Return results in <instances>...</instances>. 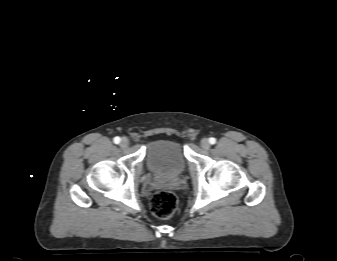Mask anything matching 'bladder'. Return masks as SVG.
Masks as SVG:
<instances>
[{
  "label": "bladder",
  "instance_id": "31cf9c89",
  "mask_svg": "<svg viewBox=\"0 0 337 261\" xmlns=\"http://www.w3.org/2000/svg\"><path fill=\"white\" fill-rule=\"evenodd\" d=\"M146 164L157 176L177 177L187 167V159L180 142L171 139H156L146 147Z\"/></svg>",
  "mask_w": 337,
  "mask_h": 261
}]
</instances>
